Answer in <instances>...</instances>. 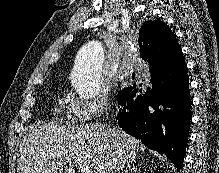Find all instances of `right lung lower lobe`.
Wrapping results in <instances>:
<instances>
[{"label":"right lung lower lobe","mask_w":219,"mask_h":173,"mask_svg":"<svg viewBox=\"0 0 219 173\" xmlns=\"http://www.w3.org/2000/svg\"><path fill=\"white\" fill-rule=\"evenodd\" d=\"M160 57L145 60L150 64L148 85L133 84L118 94L116 116L126 133L163 153L180 170L190 128L189 80L183 57Z\"/></svg>","instance_id":"1"}]
</instances>
